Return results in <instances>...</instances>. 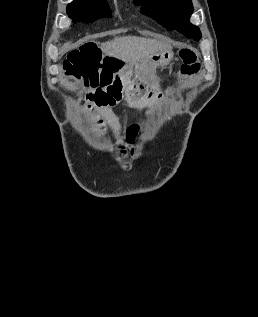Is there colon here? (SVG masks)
Instances as JSON below:
<instances>
[{"label": "colon", "instance_id": "5ec220e1", "mask_svg": "<svg viewBox=\"0 0 258 317\" xmlns=\"http://www.w3.org/2000/svg\"><path fill=\"white\" fill-rule=\"evenodd\" d=\"M182 60L181 71L186 76L197 74L200 62L197 53L191 48L179 52ZM121 67V61L114 55L104 53L95 42H87L70 52L63 64L68 76L82 82L85 87H98L109 80Z\"/></svg>", "mask_w": 258, "mask_h": 317}]
</instances>
